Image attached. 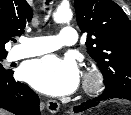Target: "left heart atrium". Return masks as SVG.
<instances>
[{
  "label": "left heart atrium",
  "instance_id": "39dd6f15",
  "mask_svg": "<svg viewBox=\"0 0 131 115\" xmlns=\"http://www.w3.org/2000/svg\"><path fill=\"white\" fill-rule=\"evenodd\" d=\"M21 73L23 79L36 90L54 96L73 92L79 83L76 63L55 55L28 62Z\"/></svg>",
  "mask_w": 131,
  "mask_h": 115
}]
</instances>
